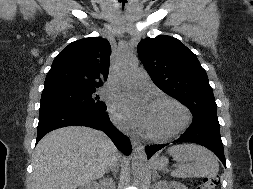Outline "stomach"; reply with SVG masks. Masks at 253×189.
<instances>
[{
    "mask_svg": "<svg viewBox=\"0 0 253 189\" xmlns=\"http://www.w3.org/2000/svg\"><path fill=\"white\" fill-rule=\"evenodd\" d=\"M168 164V159L166 157H159L154 160V166L156 169H164Z\"/></svg>",
    "mask_w": 253,
    "mask_h": 189,
    "instance_id": "0dacf381",
    "label": "stomach"
}]
</instances>
